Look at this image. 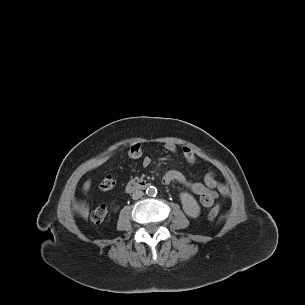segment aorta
<instances>
[{"mask_svg":"<svg viewBox=\"0 0 305 305\" xmlns=\"http://www.w3.org/2000/svg\"><path fill=\"white\" fill-rule=\"evenodd\" d=\"M146 194H147L148 196H156V194H157V189H156V187H154V186L148 187L147 190H146Z\"/></svg>","mask_w":305,"mask_h":305,"instance_id":"aorta-1","label":"aorta"}]
</instances>
